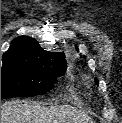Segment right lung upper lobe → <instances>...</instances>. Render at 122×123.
Returning <instances> with one entry per match:
<instances>
[{
    "instance_id": "right-lung-upper-lobe-1",
    "label": "right lung upper lobe",
    "mask_w": 122,
    "mask_h": 123,
    "mask_svg": "<svg viewBox=\"0 0 122 123\" xmlns=\"http://www.w3.org/2000/svg\"><path fill=\"white\" fill-rule=\"evenodd\" d=\"M3 60H16L41 66H66L63 52H50L44 50L39 43L30 37L20 36L11 42Z\"/></svg>"
}]
</instances>
